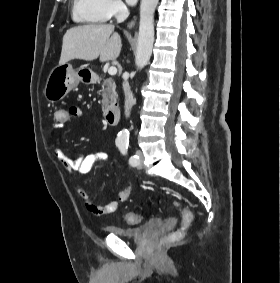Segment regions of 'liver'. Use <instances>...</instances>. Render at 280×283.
Masks as SVG:
<instances>
[{"mask_svg":"<svg viewBox=\"0 0 280 283\" xmlns=\"http://www.w3.org/2000/svg\"><path fill=\"white\" fill-rule=\"evenodd\" d=\"M111 24H89L67 30L63 37L59 65L73 59L85 61L99 57L101 62L116 60L122 48L121 37Z\"/></svg>","mask_w":280,"mask_h":283,"instance_id":"1","label":"liver"}]
</instances>
